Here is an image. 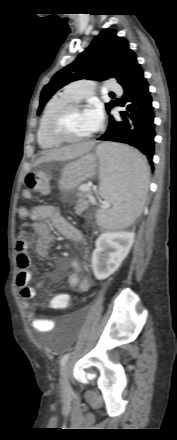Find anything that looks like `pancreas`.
I'll use <instances>...</instances> for the list:
<instances>
[{"mask_svg":"<svg viewBox=\"0 0 177 440\" xmlns=\"http://www.w3.org/2000/svg\"><path fill=\"white\" fill-rule=\"evenodd\" d=\"M77 195L79 200L76 202L75 213L80 215L88 207V201L86 199L92 195V192L87 190V192H79Z\"/></svg>","mask_w":177,"mask_h":440,"instance_id":"1","label":"pancreas"}]
</instances>
